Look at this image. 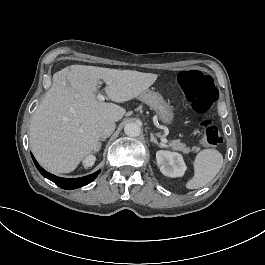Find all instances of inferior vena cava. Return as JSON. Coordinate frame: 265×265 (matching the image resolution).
Wrapping results in <instances>:
<instances>
[{
	"mask_svg": "<svg viewBox=\"0 0 265 265\" xmlns=\"http://www.w3.org/2000/svg\"><path fill=\"white\" fill-rule=\"evenodd\" d=\"M115 122L110 120H103L97 127V134L99 137H109L115 130Z\"/></svg>",
	"mask_w": 265,
	"mask_h": 265,
	"instance_id": "1",
	"label": "inferior vena cava"
}]
</instances>
